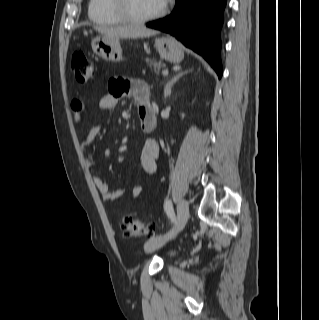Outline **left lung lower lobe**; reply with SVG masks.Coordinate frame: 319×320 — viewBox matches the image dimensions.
<instances>
[{"label": "left lung lower lobe", "instance_id": "1", "mask_svg": "<svg viewBox=\"0 0 319 320\" xmlns=\"http://www.w3.org/2000/svg\"><path fill=\"white\" fill-rule=\"evenodd\" d=\"M225 5L226 0H176L169 16L146 26L173 35L202 55L221 78L220 30Z\"/></svg>", "mask_w": 319, "mask_h": 320}]
</instances>
